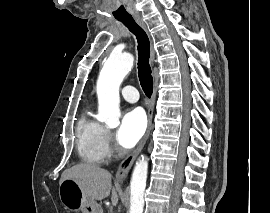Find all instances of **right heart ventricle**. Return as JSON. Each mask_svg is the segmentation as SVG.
I'll return each mask as SVG.
<instances>
[{
    "label": "right heart ventricle",
    "instance_id": "obj_1",
    "mask_svg": "<svg viewBox=\"0 0 270 213\" xmlns=\"http://www.w3.org/2000/svg\"><path fill=\"white\" fill-rule=\"evenodd\" d=\"M76 150L86 162L100 164L110 156L106 128L96 120L90 107L81 114L76 127Z\"/></svg>",
    "mask_w": 270,
    "mask_h": 213
}]
</instances>
